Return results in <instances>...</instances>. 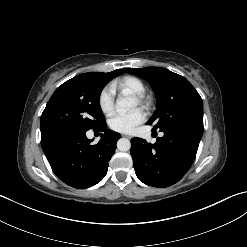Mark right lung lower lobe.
Masks as SVG:
<instances>
[{
  "mask_svg": "<svg viewBox=\"0 0 247 247\" xmlns=\"http://www.w3.org/2000/svg\"><path fill=\"white\" fill-rule=\"evenodd\" d=\"M106 122L94 131H105L92 145L86 132L54 131L41 135V145L56 176L69 186L83 189L99 183L107 174L120 134L106 130Z\"/></svg>",
  "mask_w": 247,
  "mask_h": 247,
  "instance_id": "1",
  "label": "right lung lower lobe"
}]
</instances>
